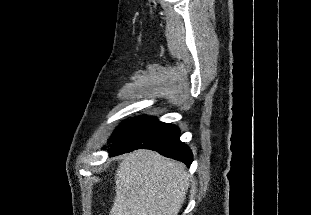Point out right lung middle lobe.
Instances as JSON below:
<instances>
[{"label":"right lung middle lobe","mask_w":311,"mask_h":215,"mask_svg":"<svg viewBox=\"0 0 311 215\" xmlns=\"http://www.w3.org/2000/svg\"><path fill=\"white\" fill-rule=\"evenodd\" d=\"M146 116H141L139 118L128 120L124 123H122L116 131L113 133L111 138L109 139V142H112L113 144L119 142L122 140L127 134H129L140 122H142Z\"/></svg>","instance_id":"1"}]
</instances>
